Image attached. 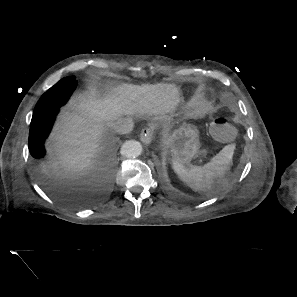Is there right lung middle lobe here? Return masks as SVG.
<instances>
[{"label":"right lung middle lobe","instance_id":"obj_1","mask_svg":"<svg viewBox=\"0 0 297 297\" xmlns=\"http://www.w3.org/2000/svg\"><path fill=\"white\" fill-rule=\"evenodd\" d=\"M77 80L75 77L70 76L61 79L57 84L47 90L38 101L32 119H39L44 117L50 112L57 104L64 99L70 97L75 90Z\"/></svg>","mask_w":297,"mask_h":297}]
</instances>
